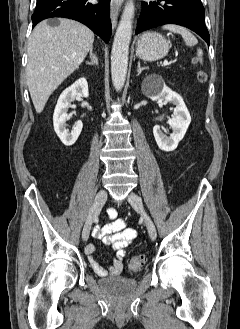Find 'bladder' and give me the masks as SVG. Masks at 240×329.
<instances>
[{
  "instance_id": "1",
  "label": "bladder",
  "mask_w": 240,
  "mask_h": 329,
  "mask_svg": "<svg viewBox=\"0 0 240 329\" xmlns=\"http://www.w3.org/2000/svg\"><path fill=\"white\" fill-rule=\"evenodd\" d=\"M100 287L114 297H124L135 290L137 284L132 278L124 276H112L99 282Z\"/></svg>"
}]
</instances>
